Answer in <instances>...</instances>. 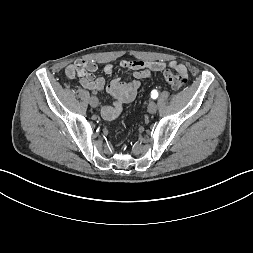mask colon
Returning a JSON list of instances; mask_svg holds the SVG:
<instances>
[{
    "label": "colon",
    "mask_w": 253,
    "mask_h": 253,
    "mask_svg": "<svg viewBox=\"0 0 253 253\" xmlns=\"http://www.w3.org/2000/svg\"><path fill=\"white\" fill-rule=\"evenodd\" d=\"M163 77L164 80L174 89H179L183 87L187 82L186 73L176 69L164 70Z\"/></svg>",
    "instance_id": "5ec220e1"
}]
</instances>
